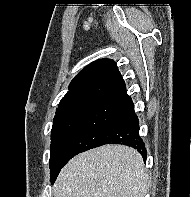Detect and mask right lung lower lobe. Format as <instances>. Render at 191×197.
<instances>
[{"mask_svg": "<svg viewBox=\"0 0 191 197\" xmlns=\"http://www.w3.org/2000/svg\"><path fill=\"white\" fill-rule=\"evenodd\" d=\"M104 144H123L137 149L146 160L145 145L139 136V121L125 84L113 90L91 110L65 159ZM63 165V166H64Z\"/></svg>", "mask_w": 191, "mask_h": 197, "instance_id": "1", "label": "right lung lower lobe"}]
</instances>
